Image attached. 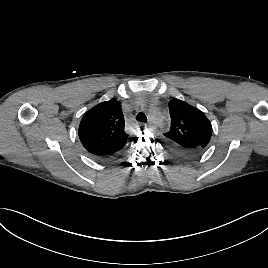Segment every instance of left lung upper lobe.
Masks as SVG:
<instances>
[{
	"mask_svg": "<svg viewBox=\"0 0 268 268\" xmlns=\"http://www.w3.org/2000/svg\"><path fill=\"white\" fill-rule=\"evenodd\" d=\"M169 112L171 128L164 133L168 142L184 149L206 150L212 125L204 113L176 98L169 101Z\"/></svg>",
	"mask_w": 268,
	"mask_h": 268,
	"instance_id": "left-lung-upper-lobe-1",
	"label": "left lung upper lobe"
}]
</instances>
